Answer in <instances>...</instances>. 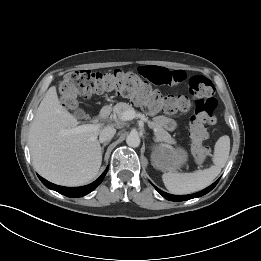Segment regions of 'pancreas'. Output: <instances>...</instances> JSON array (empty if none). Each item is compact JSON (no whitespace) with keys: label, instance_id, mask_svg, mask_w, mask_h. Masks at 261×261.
Listing matches in <instances>:
<instances>
[{"label":"pancreas","instance_id":"pancreas-1","mask_svg":"<svg viewBox=\"0 0 261 261\" xmlns=\"http://www.w3.org/2000/svg\"><path fill=\"white\" fill-rule=\"evenodd\" d=\"M128 110H134V108L128 103L120 102L113 107V116L121 118L123 112ZM148 125L153 128L155 134V140L158 142H166L168 144H173L174 140L171 138L170 134L156 121H149Z\"/></svg>","mask_w":261,"mask_h":261}]
</instances>
